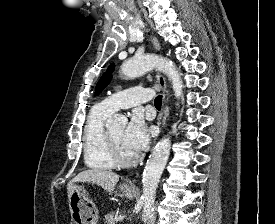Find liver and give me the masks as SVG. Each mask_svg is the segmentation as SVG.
I'll use <instances>...</instances> for the list:
<instances>
[{
    "label": "liver",
    "instance_id": "1",
    "mask_svg": "<svg viewBox=\"0 0 275 224\" xmlns=\"http://www.w3.org/2000/svg\"><path fill=\"white\" fill-rule=\"evenodd\" d=\"M119 181V175L112 171L103 169H88L80 172L67 185L68 198L71 194L72 187L76 182H87L101 186L104 190L112 193Z\"/></svg>",
    "mask_w": 275,
    "mask_h": 224
}]
</instances>
